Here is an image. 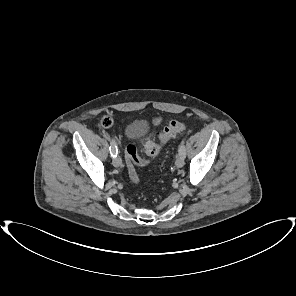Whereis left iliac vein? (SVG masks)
<instances>
[{
    "label": "left iliac vein",
    "mask_w": 296,
    "mask_h": 296,
    "mask_svg": "<svg viewBox=\"0 0 296 296\" xmlns=\"http://www.w3.org/2000/svg\"><path fill=\"white\" fill-rule=\"evenodd\" d=\"M175 165L177 168H181L184 165V157L183 156H178L176 161H175Z\"/></svg>",
    "instance_id": "1"
}]
</instances>
